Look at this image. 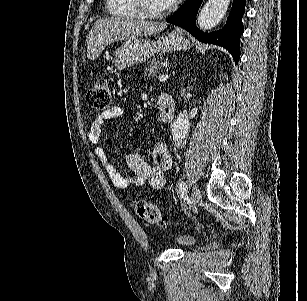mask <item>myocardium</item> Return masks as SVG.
I'll return each mask as SVG.
<instances>
[{"label": "myocardium", "mask_w": 307, "mask_h": 301, "mask_svg": "<svg viewBox=\"0 0 307 301\" xmlns=\"http://www.w3.org/2000/svg\"><path fill=\"white\" fill-rule=\"evenodd\" d=\"M132 2L135 4L134 12L138 14L136 17L143 18L144 22H157L158 18L170 17L171 4H159L155 11H150L146 0H132Z\"/></svg>", "instance_id": "myocardium-1"}]
</instances>
